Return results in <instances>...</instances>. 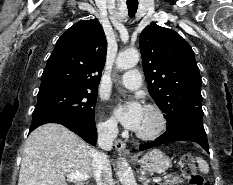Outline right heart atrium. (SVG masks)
Listing matches in <instances>:
<instances>
[{
  "label": "right heart atrium",
  "instance_id": "right-heart-atrium-1",
  "mask_svg": "<svg viewBox=\"0 0 233 185\" xmlns=\"http://www.w3.org/2000/svg\"><path fill=\"white\" fill-rule=\"evenodd\" d=\"M98 130L101 134L111 137L117 134L118 128L114 119L104 118L99 122Z\"/></svg>",
  "mask_w": 233,
  "mask_h": 185
}]
</instances>
